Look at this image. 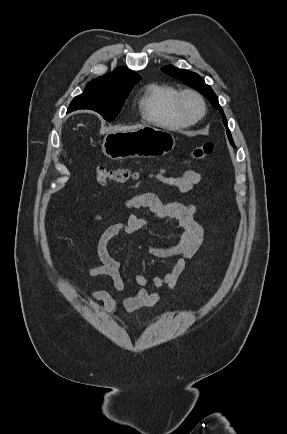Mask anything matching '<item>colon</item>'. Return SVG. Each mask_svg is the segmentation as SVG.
I'll return each instance as SVG.
<instances>
[{
    "label": "colon",
    "instance_id": "obj_1",
    "mask_svg": "<svg viewBox=\"0 0 287 434\" xmlns=\"http://www.w3.org/2000/svg\"><path fill=\"white\" fill-rule=\"evenodd\" d=\"M212 151L213 145L210 142H205L193 149L192 157L196 160H202L208 157ZM96 174L101 184H105L108 181L127 184L138 178V173L128 167L107 168L105 166H98L96 168Z\"/></svg>",
    "mask_w": 287,
    "mask_h": 434
}]
</instances>
